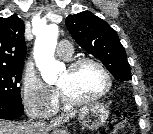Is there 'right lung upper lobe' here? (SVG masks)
Segmentation results:
<instances>
[{
    "label": "right lung upper lobe",
    "mask_w": 153,
    "mask_h": 134,
    "mask_svg": "<svg viewBox=\"0 0 153 134\" xmlns=\"http://www.w3.org/2000/svg\"><path fill=\"white\" fill-rule=\"evenodd\" d=\"M24 22L15 15L0 18V67L24 66Z\"/></svg>",
    "instance_id": "right-lung-upper-lobe-1"
}]
</instances>
